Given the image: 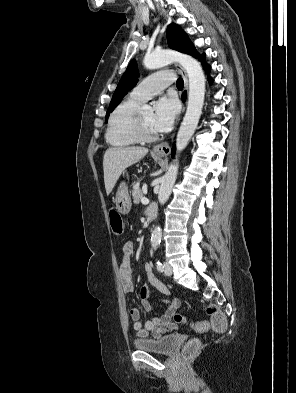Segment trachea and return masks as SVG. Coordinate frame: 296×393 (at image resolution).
I'll return each instance as SVG.
<instances>
[{"mask_svg": "<svg viewBox=\"0 0 296 393\" xmlns=\"http://www.w3.org/2000/svg\"><path fill=\"white\" fill-rule=\"evenodd\" d=\"M176 86H177L178 88H183V86H184V81H183L182 78H178V79H177Z\"/></svg>", "mask_w": 296, "mask_h": 393, "instance_id": "obj_1", "label": "trachea"}]
</instances>
